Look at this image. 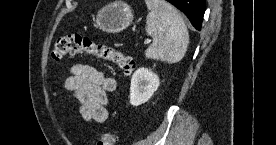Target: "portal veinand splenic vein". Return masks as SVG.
I'll return each mask as SVG.
<instances>
[{
  "mask_svg": "<svg viewBox=\"0 0 276 145\" xmlns=\"http://www.w3.org/2000/svg\"><path fill=\"white\" fill-rule=\"evenodd\" d=\"M149 43H150L149 40H145V41H144V45H148Z\"/></svg>",
  "mask_w": 276,
  "mask_h": 145,
  "instance_id": "1",
  "label": "portal vein and splenic vein"
}]
</instances>
